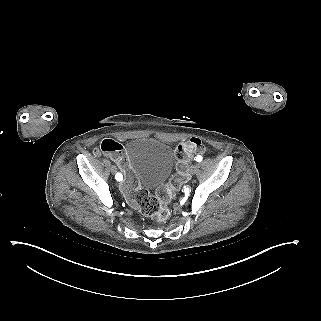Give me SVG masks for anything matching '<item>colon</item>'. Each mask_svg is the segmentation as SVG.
<instances>
[{
	"label": "colon",
	"instance_id": "1",
	"mask_svg": "<svg viewBox=\"0 0 321 321\" xmlns=\"http://www.w3.org/2000/svg\"><path fill=\"white\" fill-rule=\"evenodd\" d=\"M206 151L207 148L196 137L178 144L175 149L177 173L168 184L158 188L156 197L140 186L122 144L113 139H105L97 149L98 153L109 156L117 164L118 169L123 175L120 189L128 203L138 209L143 215L156 221H165L169 218L170 211L163 205V202H169L174 197L176 190L185 179L188 165L192 158Z\"/></svg>",
	"mask_w": 321,
	"mask_h": 321
}]
</instances>
